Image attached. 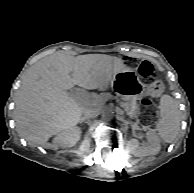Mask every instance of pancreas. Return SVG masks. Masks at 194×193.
Wrapping results in <instances>:
<instances>
[{"label": "pancreas", "instance_id": "cf45deb5", "mask_svg": "<svg viewBox=\"0 0 194 193\" xmlns=\"http://www.w3.org/2000/svg\"><path fill=\"white\" fill-rule=\"evenodd\" d=\"M122 103L120 104V107L124 109L128 115L131 117H136L137 115V104L134 101H130L129 99L122 98ZM112 101H115V98H112Z\"/></svg>", "mask_w": 194, "mask_h": 193}]
</instances>
